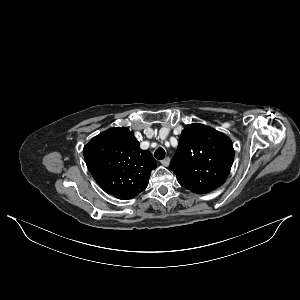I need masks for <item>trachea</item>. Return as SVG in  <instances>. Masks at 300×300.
I'll use <instances>...</instances> for the list:
<instances>
[{"label":"trachea","mask_w":300,"mask_h":300,"mask_svg":"<svg viewBox=\"0 0 300 300\" xmlns=\"http://www.w3.org/2000/svg\"><path fill=\"white\" fill-rule=\"evenodd\" d=\"M154 156L156 159L158 160H162L165 157V150L162 147H159L158 149H156Z\"/></svg>","instance_id":"3493384b"}]
</instances>
